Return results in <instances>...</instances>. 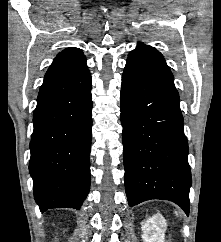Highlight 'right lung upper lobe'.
<instances>
[{
    "instance_id": "cb5924a9",
    "label": "right lung upper lobe",
    "mask_w": 221,
    "mask_h": 242,
    "mask_svg": "<svg viewBox=\"0 0 221 242\" xmlns=\"http://www.w3.org/2000/svg\"><path fill=\"white\" fill-rule=\"evenodd\" d=\"M88 70L82 51L70 47L59 53L45 74L40 89L70 80Z\"/></svg>"
}]
</instances>
